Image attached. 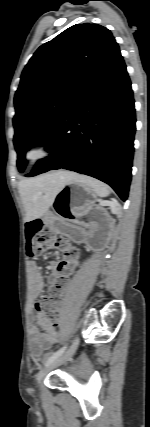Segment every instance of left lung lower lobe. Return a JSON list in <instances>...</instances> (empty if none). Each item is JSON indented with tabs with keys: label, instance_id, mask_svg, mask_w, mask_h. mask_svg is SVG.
Instances as JSON below:
<instances>
[{
	"label": "left lung lower lobe",
	"instance_id": "obj_1",
	"mask_svg": "<svg viewBox=\"0 0 150 427\" xmlns=\"http://www.w3.org/2000/svg\"><path fill=\"white\" fill-rule=\"evenodd\" d=\"M135 109L131 82L118 50L79 92L46 139L48 158L27 176L67 169L109 184L125 201L131 182Z\"/></svg>",
	"mask_w": 150,
	"mask_h": 427
}]
</instances>
